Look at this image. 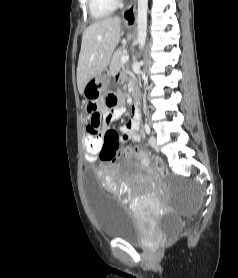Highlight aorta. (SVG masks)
I'll return each mask as SVG.
<instances>
[{
	"instance_id": "obj_1",
	"label": "aorta",
	"mask_w": 238,
	"mask_h": 278,
	"mask_svg": "<svg viewBox=\"0 0 238 278\" xmlns=\"http://www.w3.org/2000/svg\"><path fill=\"white\" fill-rule=\"evenodd\" d=\"M147 9L148 0H138L137 31L138 42L141 49L144 47L147 37Z\"/></svg>"
}]
</instances>
